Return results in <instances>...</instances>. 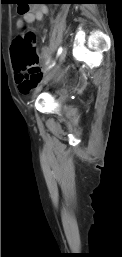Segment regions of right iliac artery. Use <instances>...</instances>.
Instances as JSON below:
<instances>
[{"label": "right iliac artery", "mask_w": 122, "mask_h": 257, "mask_svg": "<svg viewBox=\"0 0 122 257\" xmlns=\"http://www.w3.org/2000/svg\"><path fill=\"white\" fill-rule=\"evenodd\" d=\"M62 51H63V49H62V47H60V48L58 49L57 56H59V55L62 53Z\"/></svg>", "instance_id": "right-iliac-artery-1"}]
</instances>
